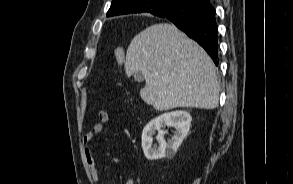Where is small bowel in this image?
<instances>
[{
    "label": "small bowel",
    "instance_id": "obj_1",
    "mask_svg": "<svg viewBox=\"0 0 293 184\" xmlns=\"http://www.w3.org/2000/svg\"><path fill=\"white\" fill-rule=\"evenodd\" d=\"M108 121H109V113L105 110L99 111L98 121L92 125L91 129L83 137V143L86 145V149H85L86 163H87L91 178L96 184H100L101 180H100V175H99L97 165L91 150V144L94 141L96 135H98L102 131L103 125L106 124ZM125 184H136V181L134 178H129Z\"/></svg>",
    "mask_w": 293,
    "mask_h": 184
}]
</instances>
